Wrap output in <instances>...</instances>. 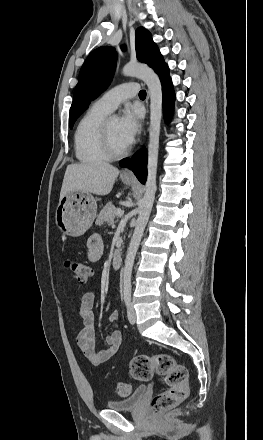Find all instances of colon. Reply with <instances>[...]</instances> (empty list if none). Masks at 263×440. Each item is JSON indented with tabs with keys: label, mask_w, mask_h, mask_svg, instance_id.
Masks as SVG:
<instances>
[{
	"label": "colon",
	"mask_w": 263,
	"mask_h": 440,
	"mask_svg": "<svg viewBox=\"0 0 263 440\" xmlns=\"http://www.w3.org/2000/svg\"><path fill=\"white\" fill-rule=\"evenodd\" d=\"M64 267L81 283L86 282L91 274L88 264L69 258L65 259ZM128 372L137 381H149L155 374L164 377L167 389L156 394L151 401V408L155 413L172 409L187 397V369L177 363L169 353L135 356L129 362ZM116 390L118 394L126 396L131 392V385L126 382L118 383Z\"/></svg>",
	"instance_id": "5ec220e1"
}]
</instances>
